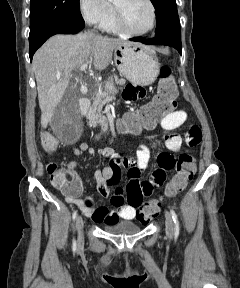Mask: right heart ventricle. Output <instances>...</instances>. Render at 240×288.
<instances>
[{"label": "right heart ventricle", "mask_w": 240, "mask_h": 288, "mask_svg": "<svg viewBox=\"0 0 240 288\" xmlns=\"http://www.w3.org/2000/svg\"><path fill=\"white\" fill-rule=\"evenodd\" d=\"M102 26L105 30H107L109 32H113V33H121L122 32L117 25L115 14H113L112 17Z\"/></svg>", "instance_id": "1"}]
</instances>
